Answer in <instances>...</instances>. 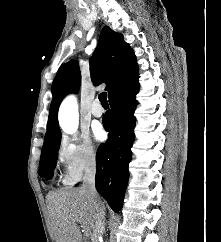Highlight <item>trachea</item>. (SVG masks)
I'll use <instances>...</instances> for the list:
<instances>
[{"label": "trachea", "instance_id": "obj_1", "mask_svg": "<svg viewBox=\"0 0 221 242\" xmlns=\"http://www.w3.org/2000/svg\"><path fill=\"white\" fill-rule=\"evenodd\" d=\"M99 100L102 104V106H108V101H107V93L102 92L99 94Z\"/></svg>", "mask_w": 221, "mask_h": 242}]
</instances>
